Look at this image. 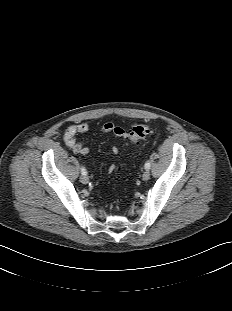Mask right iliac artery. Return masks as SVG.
Instances as JSON below:
<instances>
[{
  "label": "right iliac artery",
  "instance_id": "right-iliac-artery-1",
  "mask_svg": "<svg viewBox=\"0 0 232 311\" xmlns=\"http://www.w3.org/2000/svg\"><path fill=\"white\" fill-rule=\"evenodd\" d=\"M81 173H82V175H87V171H86L85 167L81 168Z\"/></svg>",
  "mask_w": 232,
  "mask_h": 311
}]
</instances>
